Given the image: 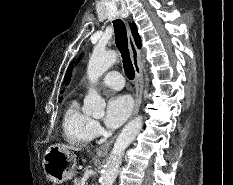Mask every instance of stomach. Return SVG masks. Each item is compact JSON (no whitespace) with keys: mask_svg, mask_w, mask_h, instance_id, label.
I'll return each mask as SVG.
<instances>
[{"mask_svg":"<svg viewBox=\"0 0 233 185\" xmlns=\"http://www.w3.org/2000/svg\"><path fill=\"white\" fill-rule=\"evenodd\" d=\"M76 156L69 150L51 145L43 156V169L49 181L62 184L75 174Z\"/></svg>","mask_w":233,"mask_h":185,"instance_id":"0dacf381","label":"stomach"}]
</instances>
